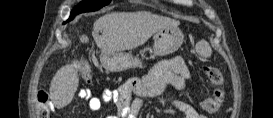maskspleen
<instances>
[{
  "label": "spleen",
  "instance_id": "3e777b00",
  "mask_svg": "<svg viewBox=\"0 0 273 118\" xmlns=\"http://www.w3.org/2000/svg\"><path fill=\"white\" fill-rule=\"evenodd\" d=\"M196 51L200 56L205 57V58L210 57L212 54V49H211L209 43L206 42L205 40H200L196 44Z\"/></svg>",
  "mask_w": 273,
  "mask_h": 118
}]
</instances>
